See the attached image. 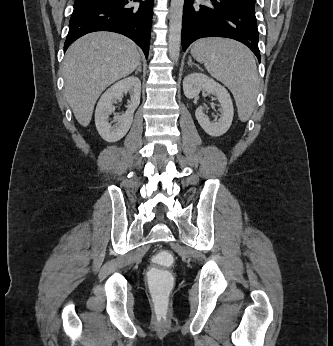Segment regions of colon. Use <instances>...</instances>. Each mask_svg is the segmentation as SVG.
Here are the masks:
<instances>
[{
    "instance_id": "5ec220e1",
    "label": "colon",
    "mask_w": 333,
    "mask_h": 346,
    "mask_svg": "<svg viewBox=\"0 0 333 346\" xmlns=\"http://www.w3.org/2000/svg\"><path fill=\"white\" fill-rule=\"evenodd\" d=\"M151 262L153 268L147 269L146 275L150 287L152 310H166L169 306L167 296L170 290L176 287V282L169 273L173 271V257L168 251H160L152 257Z\"/></svg>"
}]
</instances>
